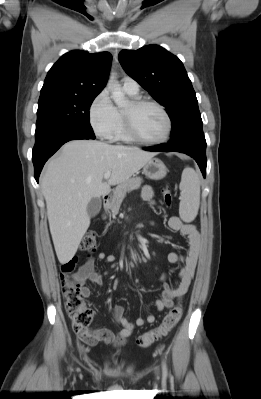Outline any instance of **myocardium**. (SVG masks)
<instances>
[{
  "mask_svg": "<svg viewBox=\"0 0 261 399\" xmlns=\"http://www.w3.org/2000/svg\"><path fill=\"white\" fill-rule=\"evenodd\" d=\"M131 104L134 108H139V107L147 106V105L154 106V107L158 108L161 111V113L163 114V116L165 117L166 124H167L166 132L162 138L157 139V140L146 139V138L142 137L137 132L131 114L123 111L122 119H123L124 130H125L126 135L131 140L136 141L141 144H146V145H160V144L167 142L170 139L172 131H173V122H172L170 114L168 113V111L162 104H160L157 101H154L151 99H144V98H134L131 101Z\"/></svg>",
  "mask_w": 261,
  "mask_h": 399,
  "instance_id": "f54148a6",
  "label": "myocardium"
}]
</instances>
